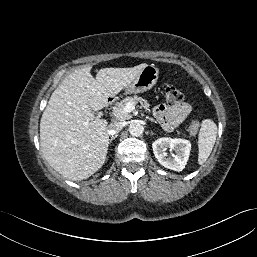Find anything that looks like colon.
Returning <instances> with one entry per match:
<instances>
[{
  "mask_svg": "<svg viewBox=\"0 0 257 257\" xmlns=\"http://www.w3.org/2000/svg\"><path fill=\"white\" fill-rule=\"evenodd\" d=\"M165 97L166 99L171 103H179L183 100V94L182 92L175 87L174 85H167L165 87ZM191 128H197L198 123L195 121H192L190 124Z\"/></svg>",
  "mask_w": 257,
  "mask_h": 257,
  "instance_id": "colon-1",
  "label": "colon"
}]
</instances>
